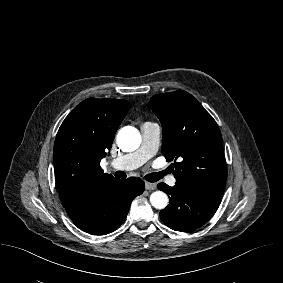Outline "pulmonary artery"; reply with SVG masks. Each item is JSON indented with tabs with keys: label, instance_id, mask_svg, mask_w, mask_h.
I'll return each instance as SVG.
<instances>
[{
	"label": "pulmonary artery",
	"instance_id": "pulmonary-artery-1",
	"mask_svg": "<svg viewBox=\"0 0 283 283\" xmlns=\"http://www.w3.org/2000/svg\"><path fill=\"white\" fill-rule=\"evenodd\" d=\"M141 134V146L132 153L113 159L112 166L122 170H132L140 167L156 154L161 136L160 125L154 122H145L141 126ZM168 183L173 186L176 179L170 176Z\"/></svg>",
	"mask_w": 283,
	"mask_h": 283
}]
</instances>
